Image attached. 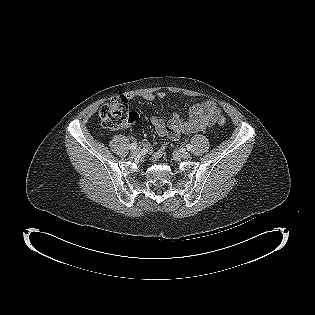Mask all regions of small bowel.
<instances>
[{
	"label": "small bowel",
	"mask_w": 315,
	"mask_h": 315,
	"mask_svg": "<svg viewBox=\"0 0 315 315\" xmlns=\"http://www.w3.org/2000/svg\"><path fill=\"white\" fill-rule=\"evenodd\" d=\"M166 94L162 91L154 93H146L143 99L151 102L156 98L164 99ZM220 114L217 105L210 100L196 103L189 109L188 119H182L178 114H174L169 121H165L159 116H152L151 123L157 134L161 137H168L176 140L183 134L195 133L203 131L216 122L217 116ZM147 146L148 143H145ZM163 149L154 153L153 159L158 160L162 155Z\"/></svg>",
	"instance_id": "small-bowel-1"
}]
</instances>
